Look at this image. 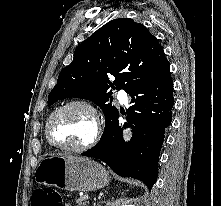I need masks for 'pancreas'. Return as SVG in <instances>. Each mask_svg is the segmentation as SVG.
Wrapping results in <instances>:
<instances>
[{
	"label": "pancreas",
	"instance_id": "obj_1",
	"mask_svg": "<svg viewBox=\"0 0 221 206\" xmlns=\"http://www.w3.org/2000/svg\"><path fill=\"white\" fill-rule=\"evenodd\" d=\"M77 206H88L86 199H84V196L78 197L76 199Z\"/></svg>",
	"mask_w": 221,
	"mask_h": 206
}]
</instances>
